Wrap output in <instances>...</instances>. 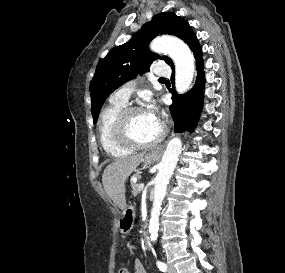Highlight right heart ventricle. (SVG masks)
Listing matches in <instances>:
<instances>
[{
	"label": "right heart ventricle",
	"instance_id": "obj_1",
	"mask_svg": "<svg viewBox=\"0 0 285 273\" xmlns=\"http://www.w3.org/2000/svg\"><path fill=\"white\" fill-rule=\"evenodd\" d=\"M126 103L110 101L103 109L98 124V136L103 150L110 156L123 157L128 155L131 150L120 146L114 138L113 127L115 120Z\"/></svg>",
	"mask_w": 285,
	"mask_h": 273
}]
</instances>
